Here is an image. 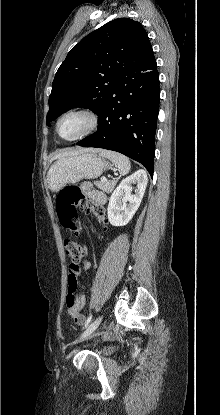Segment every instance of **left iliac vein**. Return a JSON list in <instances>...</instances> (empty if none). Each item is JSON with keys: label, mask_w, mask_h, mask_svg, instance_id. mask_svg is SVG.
<instances>
[{"label": "left iliac vein", "mask_w": 220, "mask_h": 415, "mask_svg": "<svg viewBox=\"0 0 220 415\" xmlns=\"http://www.w3.org/2000/svg\"><path fill=\"white\" fill-rule=\"evenodd\" d=\"M100 317H98L96 320H94L87 328L86 330L82 333V335L80 336L78 342H81L83 340H85L87 337H89L99 326L100 322H99ZM102 320V319H101Z\"/></svg>", "instance_id": "left-iliac-vein-1"}]
</instances>
